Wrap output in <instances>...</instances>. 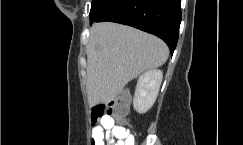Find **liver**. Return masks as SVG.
Returning <instances> with one entry per match:
<instances>
[{
    "instance_id": "liver-1",
    "label": "liver",
    "mask_w": 243,
    "mask_h": 145,
    "mask_svg": "<svg viewBox=\"0 0 243 145\" xmlns=\"http://www.w3.org/2000/svg\"><path fill=\"white\" fill-rule=\"evenodd\" d=\"M169 55L159 38L111 22L95 23L87 45V94L90 107L109 103L146 70L162 66Z\"/></svg>"
}]
</instances>
